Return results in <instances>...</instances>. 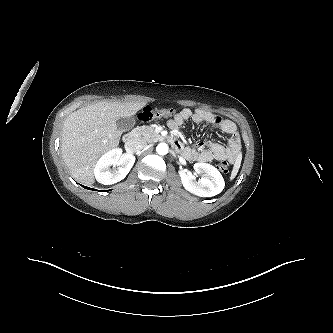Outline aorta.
Segmentation results:
<instances>
[{"label": "aorta", "instance_id": "obj_1", "mask_svg": "<svg viewBox=\"0 0 333 333\" xmlns=\"http://www.w3.org/2000/svg\"><path fill=\"white\" fill-rule=\"evenodd\" d=\"M169 151V147L166 143H159L156 147V152L159 155H166Z\"/></svg>", "mask_w": 333, "mask_h": 333}]
</instances>
